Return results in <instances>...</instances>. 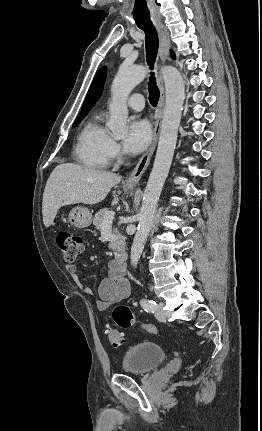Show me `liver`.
I'll return each mask as SVG.
<instances>
[{
	"label": "liver",
	"instance_id": "obj_1",
	"mask_svg": "<svg viewBox=\"0 0 262 431\" xmlns=\"http://www.w3.org/2000/svg\"><path fill=\"white\" fill-rule=\"evenodd\" d=\"M120 181L121 176L115 173L73 163L56 166L47 180L43 194L42 215L45 227L52 225L62 206L99 203Z\"/></svg>",
	"mask_w": 262,
	"mask_h": 431
}]
</instances>
